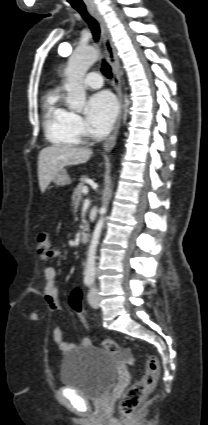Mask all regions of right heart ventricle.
<instances>
[{
  "label": "right heart ventricle",
  "instance_id": "e07e8e85",
  "mask_svg": "<svg viewBox=\"0 0 208 425\" xmlns=\"http://www.w3.org/2000/svg\"><path fill=\"white\" fill-rule=\"evenodd\" d=\"M73 113L67 109L58 92L49 93L43 103V126L49 142L58 146H75L79 137L75 134L71 120Z\"/></svg>",
  "mask_w": 208,
  "mask_h": 425
}]
</instances>
